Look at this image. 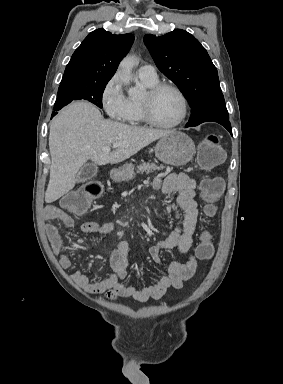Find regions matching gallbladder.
<instances>
[{
    "instance_id": "1",
    "label": "gallbladder",
    "mask_w": 283,
    "mask_h": 384,
    "mask_svg": "<svg viewBox=\"0 0 283 384\" xmlns=\"http://www.w3.org/2000/svg\"><path fill=\"white\" fill-rule=\"evenodd\" d=\"M97 175H98V172L96 170L95 165H86L84 166V168H81L77 176V180L78 182H86L88 178L97 177Z\"/></svg>"
}]
</instances>
